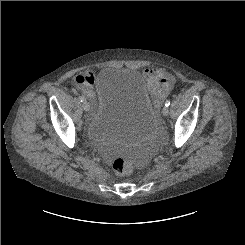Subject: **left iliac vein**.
<instances>
[{
  "instance_id": "obj_1",
  "label": "left iliac vein",
  "mask_w": 245,
  "mask_h": 245,
  "mask_svg": "<svg viewBox=\"0 0 245 245\" xmlns=\"http://www.w3.org/2000/svg\"><path fill=\"white\" fill-rule=\"evenodd\" d=\"M162 114H163L164 116H167V115L169 114V108L165 106V107L163 108V110H162Z\"/></svg>"
}]
</instances>
